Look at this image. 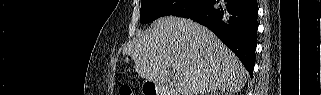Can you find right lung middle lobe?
Returning a JSON list of instances; mask_svg holds the SVG:
<instances>
[{"mask_svg":"<svg viewBox=\"0 0 321 95\" xmlns=\"http://www.w3.org/2000/svg\"><path fill=\"white\" fill-rule=\"evenodd\" d=\"M207 0H142L140 20L149 23L162 16L187 17L196 13Z\"/></svg>","mask_w":321,"mask_h":95,"instance_id":"dd1d6c3e","label":"right lung middle lobe"}]
</instances>
